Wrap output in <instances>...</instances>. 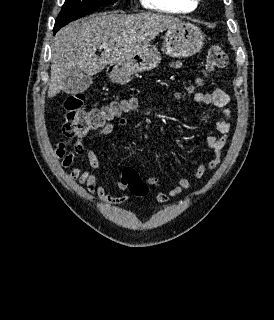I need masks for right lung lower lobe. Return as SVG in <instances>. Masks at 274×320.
Instances as JSON below:
<instances>
[{
	"label": "right lung lower lobe",
	"instance_id": "1",
	"mask_svg": "<svg viewBox=\"0 0 274 320\" xmlns=\"http://www.w3.org/2000/svg\"><path fill=\"white\" fill-rule=\"evenodd\" d=\"M57 31H58V30H54V29H53L54 34H56Z\"/></svg>",
	"mask_w": 274,
	"mask_h": 320
}]
</instances>
